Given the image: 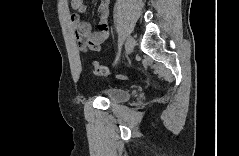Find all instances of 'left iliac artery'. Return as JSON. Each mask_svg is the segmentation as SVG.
Returning <instances> with one entry per match:
<instances>
[{"label":"left iliac artery","instance_id":"1","mask_svg":"<svg viewBox=\"0 0 239 156\" xmlns=\"http://www.w3.org/2000/svg\"><path fill=\"white\" fill-rule=\"evenodd\" d=\"M123 40H124V36L123 35H120L119 36V39H118V53H117V56H116V59L114 61V63L117 62V60L119 59V56H120V50H121V47H122V44H123Z\"/></svg>","mask_w":239,"mask_h":156}]
</instances>
